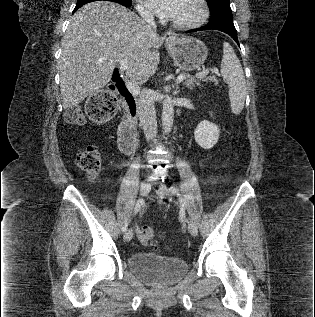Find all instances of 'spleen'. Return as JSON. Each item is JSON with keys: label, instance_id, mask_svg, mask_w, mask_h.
Masks as SVG:
<instances>
[{"label": "spleen", "instance_id": "spleen-1", "mask_svg": "<svg viewBox=\"0 0 315 317\" xmlns=\"http://www.w3.org/2000/svg\"><path fill=\"white\" fill-rule=\"evenodd\" d=\"M221 75L229 87V99L234 114L243 110L247 87L242 66L233 48L227 42L223 43Z\"/></svg>", "mask_w": 315, "mask_h": 317}]
</instances>
